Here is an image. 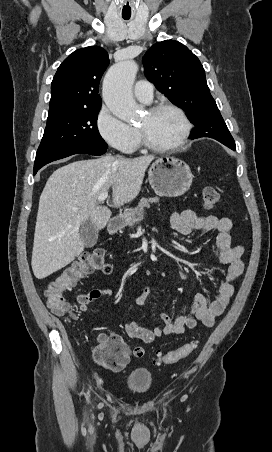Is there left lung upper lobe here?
Returning a JSON list of instances; mask_svg holds the SVG:
<instances>
[{
    "label": "left lung upper lobe",
    "instance_id": "obj_1",
    "mask_svg": "<svg viewBox=\"0 0 272 452\" xmlns=\"http://www.w3.org/2000/svg\"><path fill=\"white\" fill-rule=\"evenodd\" d=\"M145 76L173 104L184 109L195 125L191 135L225 138L235 149L215 100L210 94L205 70L197 56L185 45L165 40L151 46L143 56Z\"/></svg>",
    "mask_w": 272,
    "mask_h": 452
}]
</instances>
